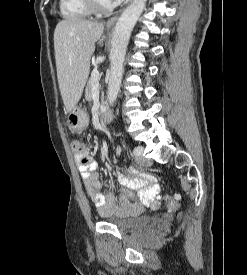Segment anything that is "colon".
<instances>
[{"label":"colon","instance_id":"5ec220e1","mask_svg":"<svg viewBox=\"0 0 247 275\" xmlns=\"http://www.w3.org/2000/svg\"><path fill=\"white\" fill-rule=\"evenodd\" d=\"M71 148L73 150V152L81 157L84 158L86 155V148L84 146V144L78 140H73L71 143ZM121 195L132 199L134 198V193L131 189L129 188H122L121 190ZM165 200L167 203L168 208L171 211H176L179 208V203H180V196L178 194H174V195H166L165 196Z\"/></svg>","mask_w":247,"mask_h":275}]
</instances>
